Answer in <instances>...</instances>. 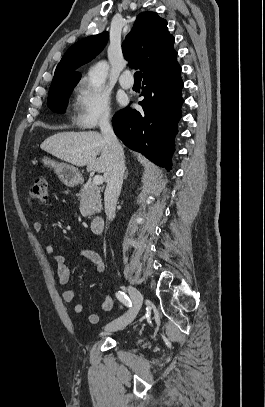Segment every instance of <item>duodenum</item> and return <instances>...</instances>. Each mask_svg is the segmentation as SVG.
Masks as SVG:
<instances>
[{
	"mask_svg": "<svg viewBox=\"0 0 265 407\" xmlns=\"http://www.w3.org/2000/svg\"><path fill=\"white\" fill-rule=\"evenodd\" d=\"M105 220L101 216H95L91 220V230L93 233L101 234L104 231Z\"/></svg>",
	"mask_w": 265,
	"mask_h": 407,
	"instance_id": "obj_1",
	"label": "duodenum"
}]
</instances>
